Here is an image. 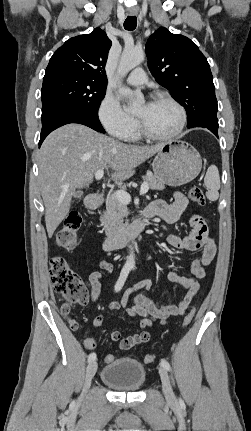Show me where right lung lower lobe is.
<instances>
[{
  "mask_svg": "<svg viewBox=\"0 0 251 431\" xmlns=\"http://www.w3.org/2000/svg\"><path fill=\"white\" fill-rule=\"evenodd\" d=\"M42 131L39 141V146L42 144L46 136L53 130L69 123H79L88 126L95 131L105 133L98 116L91 115L84 111L71 107H58L52 109L41 116Z\"/></svg>",
  "mask_w": 251,
  "mask_h": 431,
  "instance_id": "98d812e1",
  "label": "right lung lower lobe"
}]
</instances>
